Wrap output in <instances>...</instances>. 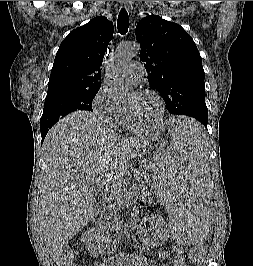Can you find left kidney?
Segmentation results:
<instances>
[{"mask_svg":"<svg viewBox=\"0 0 253 266\" xmlns=\"http://www.w3.org/2000/svg\"><path fill=\"white\" fill-rule=\"evenodd\" d=\"M146 222L153 225L154 230L149 234L146 230ZM170 229L166 221L160 215L144 217L138 226V234L141 242L147 247H157L165 243L169 238Z\"/></svg>","mask_w":253,"mask_h":266,"instance_id":"obj_1","label":"left kidney"}]
</instances>
